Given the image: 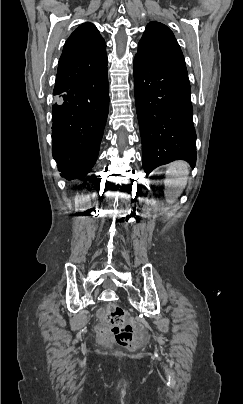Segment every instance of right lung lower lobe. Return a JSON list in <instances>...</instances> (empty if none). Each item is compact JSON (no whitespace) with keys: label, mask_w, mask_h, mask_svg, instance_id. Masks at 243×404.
<instances>
[{"label":"right lung lower lobe","mask_w":243,"mask_h":404,"mask_svg":"<svg viewBox=\"0 0 243 404\" xmlns=\"http://www.w3.org/2000/svg\"><path fill=\"white\" fill-rule=\"evenodd\" d=\"M52 154L68 180L83 179L96 162L109 110L107 67L53 92Z\"/></svg>","instance_id":"obj_1"}]
</instances>
